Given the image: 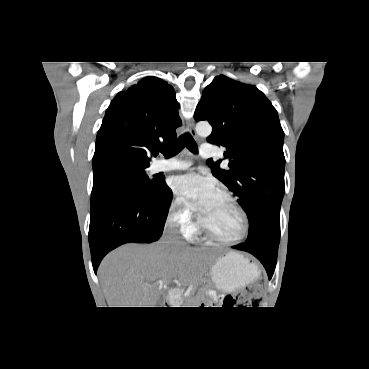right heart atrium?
<instances>
[{
	"label": "right heart atrium",
	"mask_w": 369,
	"mask_h": 369,
	"mask_svg": "<svg viewBox=\"0 0 369 369\" xmlns=\"http://www.w3.org/2000/svg\"><path fill=\"white\" fill-rule=\"evenodd\" d=\"M169 216L186 234L191 233L195 229L193 213L178 197L174 198L170 203Z\"/></svg>",
	"instance_id": "d8ad5b80"
}]
</instances>
